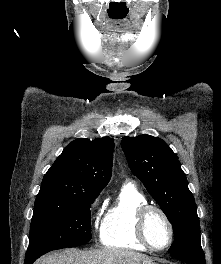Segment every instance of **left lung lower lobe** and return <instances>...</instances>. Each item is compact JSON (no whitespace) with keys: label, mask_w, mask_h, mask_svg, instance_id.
Returning a JSON list of instances; mask_svg holds the SVG:
<instances>
[{"label":"left lung lower lobe","mask_w":221,"mask_h":264,"mask_svg":"<svg viewBox=\"0 0 221 264\" xmlns=\"http://www.w3.org/2000/svg\"><path fill=\"white\" fill-rule=\"evenodd\" d=\"M170 255L187 264H205V256L202 251L179 252L171 253Z\"/></svg>","instance_id":"left-lung-lower-lobe-1"}]
</instances>
